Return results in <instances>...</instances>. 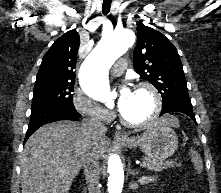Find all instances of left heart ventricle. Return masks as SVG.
Listing matches in <instances>:
<instances>
[{
    "mask_svg": "<svg viewBox=\"0 0 221 193\" xmlns=\"http://www.w3.org/2000/svg\"><path fill=\"white\" fill-rule=\"evenodd\" d=\"M153 98L147 90H134L126 109L121 113L129 120L140 121L149 116L153 109Z\"/></svg>",
    "mask_w": 221,
    "mask_h": 193,
    "instance_id": "1",
    "label": "left heart ventricle"
}]
</instances>
